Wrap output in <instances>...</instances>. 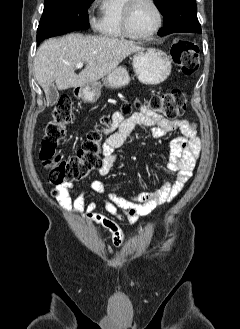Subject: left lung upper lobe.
I'll return each instance as SVG.
<instances>
[{
	"label": "left lung upper lobe",
	"mask_w": 240,
	"mask_h": 329,
	"mask_svg": "<svg viewBox=\"0 0 240 329\" xmlns=\"http://www.w3.org/2000/svg\"><path fill=\"white\" fill-rule=\"evenodd\" d=\"M164 16L163 28L158 35L164 36L174 32H201L197 19L196 0H154Z\"/></svg>",
	"instance_id": "obj_1"
}]
</instances>
